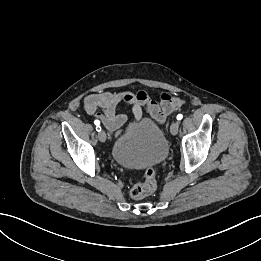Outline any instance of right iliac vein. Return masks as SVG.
Segmentation results:
<instances>
[{"mask_svg":"<svg viewBox=\"0 0 261 261\" xmlns=\"http://www.w3.org/2000/svg\"><path fill=\"white\" fill-rule=\"evenodd\" d=\"M98 139L101 141V142H105L106 141V133L105 131H100L98 133Z\"/></svg>","mask_w":261,"mask_h":261,"instance_id":"obj_1","label":"right iliac vein"}]
</instances>
